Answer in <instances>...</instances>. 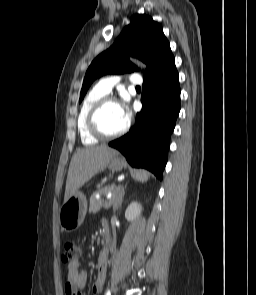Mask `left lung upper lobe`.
Returning a JSON list of instances; mask_svg holds the SVG:
<instances>
[{
  "label": "left lung upper lobe",
  "instance_id": "5c2ea615",
  "mask_svg": "<svg viewBox=\"0 0 256 295\" xmlns=\"http://www.w3.org/2000/svg\"><path fill=\"white\" fill-rule=\"evenodd\" d=\"M128 56L137 57L147 65L144 78L151 77L175 63L162 27L151 17L136 14L114 44L92 61L85 74L80 102L96 78L107 73L134 71L136 68L130 63Z\"/></svg>",
  "mask_w": 256,
  "mask_h": 295
}]
</instances>
